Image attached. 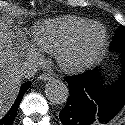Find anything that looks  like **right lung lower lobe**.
Here are the masks:
<instances>
[{
    "label": "right lung lower lobe",
    "mask_w": 125,
    "mask_h": 125,
    "mask_svg": "<svg viewBox=\"0 0 125 125\" xmlns=\"http://www.w3.org/2000/svg\"><path fill=\"white\" fill-rule=\"evenodd\" d=\"M31 82H25L21 85L19 94L14 102V104L11 106L10 110L7 112V114L0 119V125H11L16 117L18 107L20 105V102L23 98V95L25 92L29 89Z\"/></svg>",
    "instance_id": "98d812e1"
}]
</instances>
